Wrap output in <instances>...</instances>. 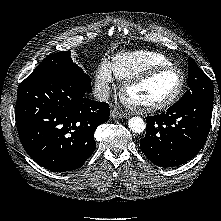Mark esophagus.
<instances>
[{
	"instance_id": "obj_1",
	"label": "esophagus",
	"mask_w": 221,
	"mask_h": 221,
	"mask_svg": "<svg viewBox=\"0 0 221 221\" xmlns=\"http://www.w3.org/2000/svg\"><path fill=\"white\" fill-rule=\"evenodd\" d=\"M127 113L120 111L117 108H113L110 112V117L115 119V118H122V117H127Z\"/></svg>"
}]
</instances>
